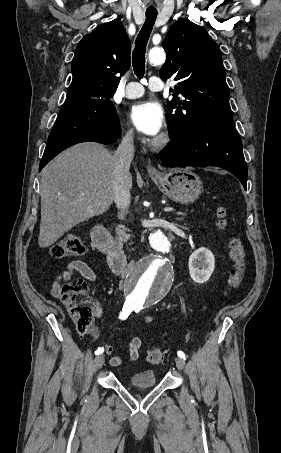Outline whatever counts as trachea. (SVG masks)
Listing matches in <instances>:
<instances>
[{
    "mask_svg": "<svg viewBox=\"0 0 281 453\" xmlns=\"http://www.w3.org/2000/svg\"><path fill=\"white\" fill-rule=\"evenodd\" d=\"M156 18L157 13L146 12V20L135 40V48L132 53V63L133 70L137 77H142L145 72L146 45L148 43V39L154 26V23L156 21Z\"/></svg>",
    "mask_w": 281,
    "mask_h": 453,
    "instance_id": "3493384b",
    "label": "trachea"
}]
</instances>
